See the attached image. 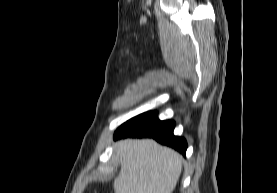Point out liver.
Here are the masks:
<instances>
[{
    "instance_id": "6515ba94",
    "label": "liver",
    "mask_w": 277,
    "mask_h": 193,
    "mask_svg": "<svg viewBox=\"0 0 277 193\" xmlns=\"http://www.w3.org/2000/svg\"><path fill=\"white\" fill-rule=\"evenodd\" d=\"M120 173L115 193H172L182 171V156L152 139H125L117 142Z\"/></svg>"
}]
</instances>
